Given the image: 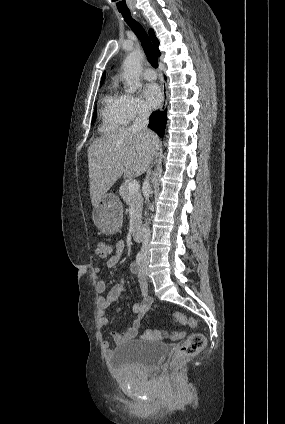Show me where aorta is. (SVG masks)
Masks as SVG:
<instances>
[{"label":"aorta","mask_w":285,"mask_h":424,"mask_svg":"<svg viewBox=\"0 0 285 424\" xmlns=\"http://www.w3.org/2000/svg\"><path fill=\"white\" fill-rule=\"evenodd\" d=\"M144 54L140 49L131 52L123 62L124 79L127 84V92L134 93L140 87V73ZM146 224L144 225V232Z\"/></svg>","instance_id":"1"}]
</instances>
